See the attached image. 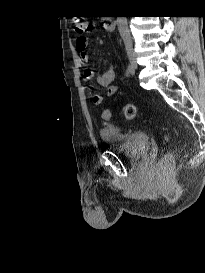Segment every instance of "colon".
<instances>
[{
	"instance_id": "obj_1",
	"label": "colon",
	"mask_w": 205,
	"mask_h": 273,
	"mask_svg": "<svg viewBox=\"0 0 205 273\" xmlns=\"http://www.w3.org/2000/svg\"><path fill=\"white\" fill-rule=\"evenodd\" d=\"M74 29L77 33L88 32L92 29V23L83 18H76L74 21ZM136 114H137V110L134 104L128 103L124 105L123 115L126 119L133 120L136 117ZM102 115L105 120L111 119V112L108 109H105ZM172 163H173V155L167 154L165 156L164 161H162L159 167L160 172L162 173L169 172L171 170Z\"/></svg>"
}]
</instances>
